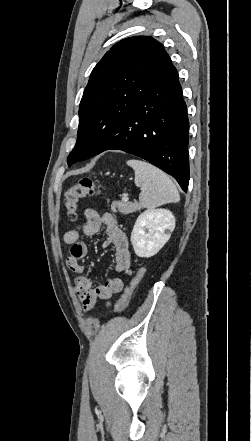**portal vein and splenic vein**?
Wrapping results in <instances>:
<instances>
[{
  "label": "portal vein and splenic vein",
  "instance_id": "18ae733b",
  "mask_svg": "<svg viewBox=\"0 0 251 441\" xmlns=\"http://www.w3.org/2000/svg\"><path fill=\"white\" fill-rule=\"evenodd\" d=\"M122 200H123V201H127V200H128V196H127V195H124L123 198H122Z\"/></svg>",
  "mask_w": 251,
  "mask_h": 441
}]
</instances>
